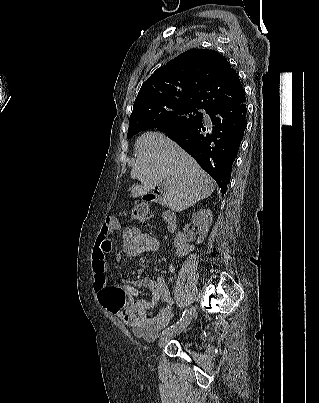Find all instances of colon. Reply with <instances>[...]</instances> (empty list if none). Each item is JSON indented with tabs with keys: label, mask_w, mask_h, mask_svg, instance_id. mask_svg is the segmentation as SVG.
<instances>
[{
	"label": "colon",
	"mask_w": 319,
	"mask_h": 403,
	"mask_svg": "<svg viewBox=\"0 0 319 403\" xmlns=\"http://www.w3.org/2000/svg\"><path fill=\"white\" fill-rule=\"evenodd\" d=\"M151 208H156V203H151ZM126 243V260H139L140 254L144 258H157L160 241L156 240V234H147L145 226H129L123 235Z\"/></svg>",
	"instance_id": "1"
}]
</instances>
